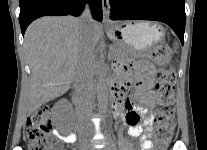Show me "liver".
<instances>
[{
  "label": "liver",
  "instance_id": "liver-1",
  "mask_svg": "<svg viewBox=\"0 0 207 150\" xmlns=\"http://www.w3.org/2000/svg\"><path fill=\"white\" fill-rule=\"evenodd\" d=\"M90 36L95 45L103 36V28L98 22L92 21ZM80 42L78 18L46 16L29 25L24 48L31 77L21 100L25 117L69 89L75 80Z\"/></svg>",
  "mask_w": 207,
  "mask_h": 150
}]
</instances>
